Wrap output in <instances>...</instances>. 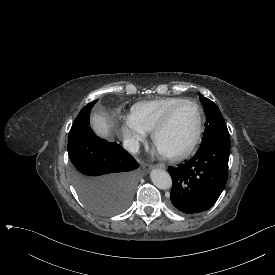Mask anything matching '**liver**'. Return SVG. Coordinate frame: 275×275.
Wrapping results in <instances>:
<instances>
[{
    "mask_svg": "<svg viewBox=\"0 0 275 275\" xmlns=\"http://www.w3.org/2000/svg\"><path fill=\"white\" fill-rule=\"evenodd\" d=\"M91 124L94 131L101 137L107 138L110 132V125L108 124L105 114H94L91 118Z\"/></svg>",
    "mask_w": 275,
    "mask_h": 275,
    "instance_id": "liver-1",
    "label": "liver"
}]
</instances>
